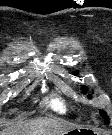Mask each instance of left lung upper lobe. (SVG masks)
<instances>
[{
  "label": "left lung upper lobe",
  "mask_w": 112,
  "mask_h": 135,
  "mask_svg": "<svg viewBox=\"0 0 112 135\" xmlns=\"http://www.w3.org/2000/svg\"><path fill=\"white\" fill-rule=\"evenodd\" d=\"M89 97H91V96L89 95ZM101 115L104 116L106 118V121L108 122V117L106 116V113L102 111Z\"/></svg>",
  "instance_id": "left-lung-upper-lobe-1"
}]
</instances>
